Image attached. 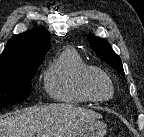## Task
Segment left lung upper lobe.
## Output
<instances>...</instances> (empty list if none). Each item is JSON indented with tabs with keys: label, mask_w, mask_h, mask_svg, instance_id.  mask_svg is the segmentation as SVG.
Masks as SVG:
<instances>
[{
	"label": "left lung upper lobe",
	"mask_w": 144,
	"mask_h": 137,
	"mask_svg": "<svg viewBox=\"0 0 144 137\" xmlns=\"http://www.w3.org/2000/svg\"><path fill=\"white\" fill-rule=\"evenodd\" d=\"M89 42L91 44L92 49L95 53L101 58L103 61L110 64L112 67L116 69L118 73L124 76V69L122 66V62L117 54L112 50L110 44L100 38L89 35Z\"/></svg>",
	"instance_id": "left-lung-upper-lobe-1"
}]
</instances>
